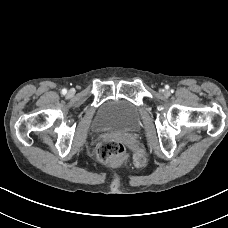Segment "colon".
Masks as SVG:
<instances>
[{"label":"colon","mask_w":228,"mask_h":228,"mask_svg":"<svg viewBox=\"0 0 228 228\" xmlns=\"http://www.w3.org/2000/svg\"><path fill=\"white\" fill-rule=\"evenodd\" d=\"M125 153V147L122 143L113 139L102 141L95 151L98 160L108 162L122 157Z\"/></svg>","instance_id":"colon-1"}]
</instances>
